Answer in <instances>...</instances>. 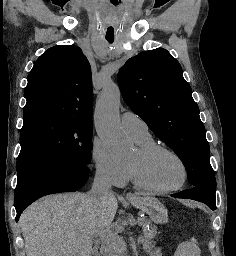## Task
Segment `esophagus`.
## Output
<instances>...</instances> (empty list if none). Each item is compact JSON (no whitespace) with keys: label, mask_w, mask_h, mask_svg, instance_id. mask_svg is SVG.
I'll use <instances>...</instances> for the list:
<instances>
[{"label":"esophagus","mask_w":236,"mask_h":256,"mask_svg":"<svg viewBox=\"0 0 236 256\" xmlns=\"http://www.w3.org/2000/svg\"><path fill=\"white\" fill-rule=\"evenodd\" d=\"M126 196H127L128 199H133V198L136 197L133 193H127Z\"/></svg>","instance_id":"obj_1"}]
</instances>
